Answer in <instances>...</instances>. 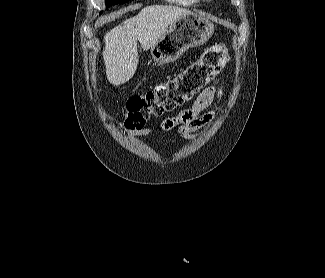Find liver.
I'll return each mask as SVG.
<instances>
[{"mask_svg":"<svg viewBox=\"0 0 325 278\" xmlns=\"http://www.w3.org/2000/svg\"><path fill=\"white\" fill-rule=\"evenodd\" d=\"M190 14L193 12L182 7L152 5L107 32L102 55L108 81L118 87L132 78L138 64L137 40L146 51L172 23Z\"/></svg>","mask_w":325,"mask_h":278,"instance_id":"6515ba94","label":"liver"}]
</instances>
